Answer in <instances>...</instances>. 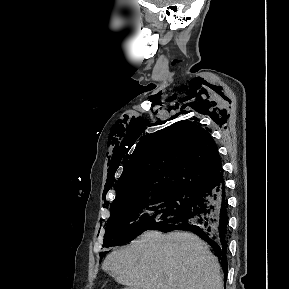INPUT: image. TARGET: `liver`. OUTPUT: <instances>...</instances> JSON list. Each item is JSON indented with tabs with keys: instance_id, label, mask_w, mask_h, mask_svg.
Listing matches in <instances>:
<instances>
[{
	"instance_id": "obj_1",
	"label": "liver",
	"mask_w": 289,
	"mask_h": 289,
	"mask_svg": "<svg viewBox=\"0 0 289 289\" xmlns=\"http://www.w3.org/2000/svg\"><path fill=\"white\" fill-rule=\"evenodd\" d=\"M102 269L125 289H223L216 257L189 232L146 231L110 253Z\"/></svg>"
}]
</instances>
